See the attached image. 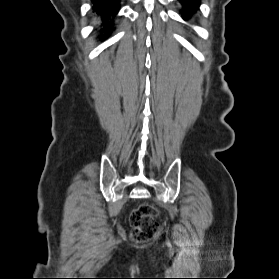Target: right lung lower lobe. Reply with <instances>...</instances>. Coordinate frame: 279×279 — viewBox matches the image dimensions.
<instances>
[{"label": "right lung lower lobe", "instance_id": "1", "mask_svg": "<svg viewBox=\"0 0 279 279\" xmlns=\"http://www.w3.org/2000/svg\"><path fill=\"white\" fill-rule=\"evenodd\" d=\"M93 13L101 20V35L107 37L112 32L113 19L120 9V0H92Z\"/></svg>", "mask_w": 279, "mask_h": 279}]
</instances>
